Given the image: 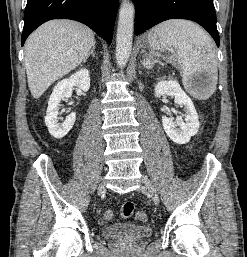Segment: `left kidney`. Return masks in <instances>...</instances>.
<instances>
[{"label": "left kidney", "mask_w": 247, "mask_h": 257, "mask_svg": "<svg viewBox=\"0 0 247 257\" xmlns=\"http://www.w3.org/2000/svg\"><path fill=\"white\" fill-rule=\"evenodd\" d=\"M155 97L172 96L177 104L183 105L185 114L179 120L162 117L163 128L167 136L177 144H186L199 130L198 114L191 98L181 89L175 80L160 81L155 85ZM184 118V120H183ZM178 127V128H177Z\"/></svg>", "instance_id": "obj_1"}]
</instances>
